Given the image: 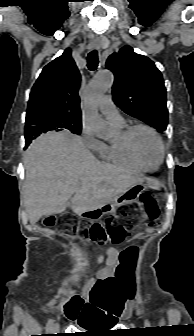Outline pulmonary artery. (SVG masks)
I'll return each mask as SVG.
<instances>
[{
	"label": "pulmonary artery",
	"instance_id": "pulmonary-artery-1",
	"mask_svg": "<svg viewBox=\"0 0 194 336\" xmlns=\"http://www.w3.org/2000/svg\"><path fill=\"white\" fill-rule=\"evenodd\" d=\"M99 108H100L101 113L111 122L115 124L124 123V120L119 114L110 95H105L102 97L99 103Z\"/></svg>",
	"mask_w": 194,
	"mask_h": 336
}]
</instances>
